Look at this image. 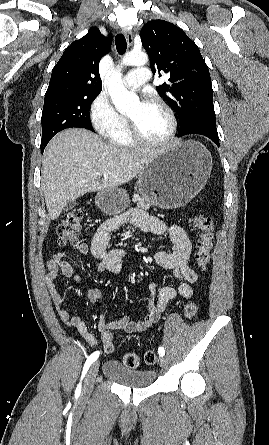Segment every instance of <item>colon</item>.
Wrapping results in <instances>:
<instances>
[{"label": "colon", "instance_id": "1", "mask_svg": "<svg viewBox=\"0 0 269 445\" xmlns=\"http://www.w3.org/2000/svg\"><path fill=\"white\" fill-rule=\"evenodd\" d=\"M85 216L83 208L68 212L57 227L58 242L61 246L75 245L79 241L82 232V222ZM192 226L199 231L197 241V251L195 259L200 269L205 270L210 263L211 251L213 248L214 222L211 217L206 215H196L191 220ZM198 312V305L190 302L185 305L184 313L187 318H193ZM104 348L106 352H112L113 337L106 334L103 337ZM123 364L129 368L135 369L139 366V356L135 352H127L123 356ZM158 357L153 350H148L144 354V362L147 365H154Z\"/></svg>", "mask_w": 269, "mask_h": 445}]
</instances>
